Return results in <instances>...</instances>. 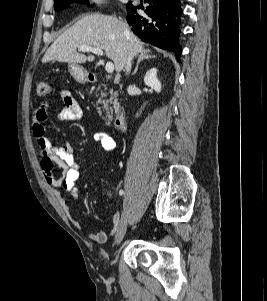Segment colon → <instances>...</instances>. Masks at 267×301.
Listing matches in <instances>:
<instances>
[{"mask_svg": "<svg viewBox=\"0 0 267 301\" xmlns=\"http://www.w3.org/2000/svg\"><path fill=\"white\" fill-rule=\"evenodd\" d=\"M51 92V87L47 82H40L38 83L37 87H36V94L41 97H47ZM104 198L112 205H115L116 199L115 196L113 194V192L109 189L106 188V194L104 196Z\"/></svg>", "mask_w": 267, "mask_h": 301, "instance_id": "1", "label": "colon"}]
</instances>
